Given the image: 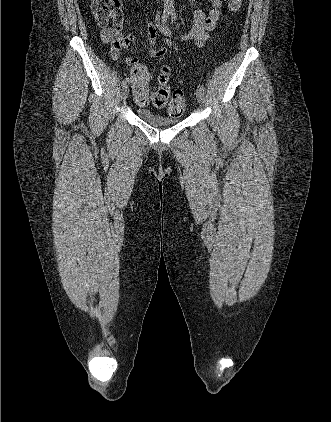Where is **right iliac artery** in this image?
<instances>
[{
	"label": "right iliac artery",
	"mask_w": 331,
	"mask_h": 422,
	"mask_svg": "<svg viewBox=\"0 0 331 422\" xmlns=\"http://www.w3.org/2000/svg\"><path fill=\"white\" fill-rule=\"evenodd\" d=\"M168 16H169V12L164 11V14L162 16V22L163 23H165L167 21ZM126 83H127V81L123 80L122 83H121V86L122 87L126 86Z\"/></svg>",
	"instance_id": "1"
}]
</instances>
